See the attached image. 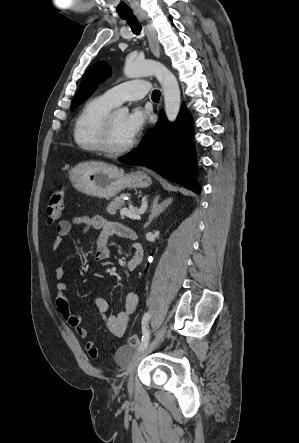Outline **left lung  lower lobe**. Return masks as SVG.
<instances>
[{
	"label": "left lung lower lobe",
	"instance_id": "obj_1",
	"mask_svg": "<svg viewBox=\"0 0 299 443\" xmlns=\"http://www.w3.org/2000/svg\"><path fill=\"white\" fill-rule=\"evenodd\" d=\"M118 160L148 167L197 194L201 191L196 181L192 120L186 108L181 109L173 124L161 111L155 128L144 135L137 148Z\"/></svg>",
	"mask_w": 299,
	"mask_h": 443
}]
</instances>
